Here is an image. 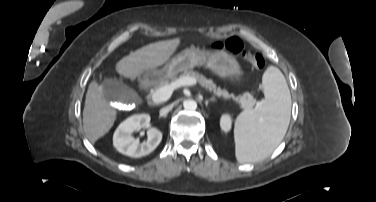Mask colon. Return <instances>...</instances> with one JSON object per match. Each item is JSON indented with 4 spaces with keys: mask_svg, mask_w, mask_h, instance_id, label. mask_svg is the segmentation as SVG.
<instances>
[{
    "mask_svg": "<svg viewBox=\"0 0 376 202\" xmlns=\"http://www.w3.org/2000/svg\"><path fill=\"white\" fill-rule=\"evenodd\" d=\"M211 49L226 50L234 56H240L245 59L251 66L258 70L263 71L266 68V62L262 55L253 54L249 52L245 47L243 42L237 38L232 37L225 42H217L209 45Z\"/></svg>",
    "mask_w": 376,
    "mask_h": 202,
    "instance_id": "1",
    "label": "colon"
}]
</instances>
